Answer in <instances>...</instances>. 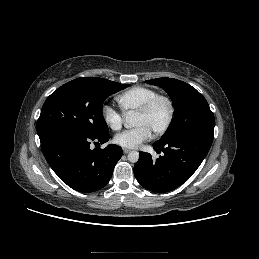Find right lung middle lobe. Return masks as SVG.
I'll return each instance as SVG.
<instances>
[{"instance_id": "right-lung-middle-lobe-1", "label": "right lung middle lobe", "mask_w": 259, "mask_h": 259, "mask_svg": "<svg viewBox=\"0 0 259 259\" xmlns=\"http://www.w3.org/2000/svg\"><path fill=\"white\" fill-rule=\"evenodd\" d=\"M128 86L98 77L77 78L64 84L46 99L37 121L38 135L61 129L94 136L108 134L102 104Z\"/></svg>"}]
</instances>
